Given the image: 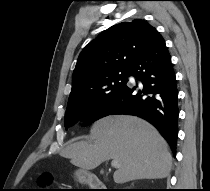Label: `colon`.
<instances>
[{
  "label": "colon",
  "mask_w": 210,
  "mask_h": 191,
  "mask_svg": "<svg viewBox=\"0 0 210 191\" xmlns=\"http://www.w3.org/2000/svg\"><path fill=\"white\" fill-rule=\"evenodd\" d=\"M52 182L51 176H44L40 179L39 189L35 191H58V190H50L47 186Z\"/></svg>",
  "instance_id": "colon-1"
}]
</instances>
